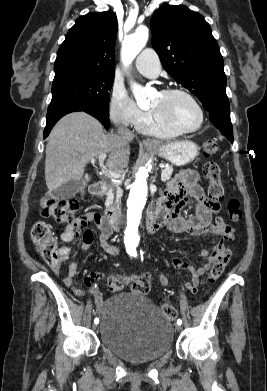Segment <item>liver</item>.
<instances>
[{
	"label": "liver",
	"instance_id": "liver-1",
	"mask_svg": "<svg viewBox=\"0 0 267 391\" xmlns=\"http://www.w3.org/2000/svg\"><path fill=\"white\" fill-rule=\"evenodd\" d=\"M131 138L105 134L101 123L85 112L67 114L52 129L46 145L45 180L49 192L68 181H78L84 167L101 154L109 170L122 172L129 163ZM89 177H86V182ZM83 189V188H82Z\"/></svg>",
	"mask_w": 267,
	"mask_h": 391
}]
</instances>
